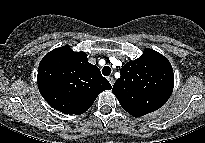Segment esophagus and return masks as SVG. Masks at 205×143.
<instances>
[{
    "mask_svg": "<svg viewBox=\"0 0 205 143\" xmlns=\"http://www.w3.org/2000/svg\"><path fill=\"white\" fill-rule=\"evenodd\" d=\"M107 80L109 81V83H110L111 85H113L114 82H115V80H114V78H113L112 76H108V77H107Z\"/></svg>",
    "mask_w": 205,
    "mask_h": 143,
    "instance_id": "1",
    "label": "esophagus"
}]
</instances>
